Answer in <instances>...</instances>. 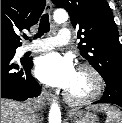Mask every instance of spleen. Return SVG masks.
Returning a JSON list of instances; mask_svg holds the SVG:
<instances>
[{
    "instance_id": "spleen-1",
    "label": "spleen",
    "mask_w": 122,
    "mask_h": 123,
    "mask_svg": "<svg viewBox=\"0 0 122 123\" xmlns=\"http://www.w3.org/2000/svg\"><path fill=\"white\" fill-rule=\"evenodd\" d=\"M90 108L105 112L107 115L105 123H122V112L113 106L102 104L100 106H91Z\"/></svg>"
}]
</instances>
